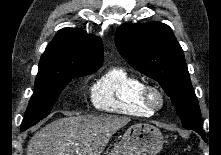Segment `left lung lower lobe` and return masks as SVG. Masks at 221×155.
Wrapping results in <instances>:
<instances>
[{"label":"left lung lower lobe","instance_id":"0a47b994","mask_svg":"<svg viewBox=\"0 0 221 155\" xmlns=\"http://www.w3.org/2000/svg\"><path fill=\"white\" fill-rule=\"evenodd\" d=\"M194 131H196L197 133H199V134L202 136V138L205 140V135H204V133H203L202 130H194Z\"/></svg>","mask_w":221,"mask_h":155}]
</instances>
